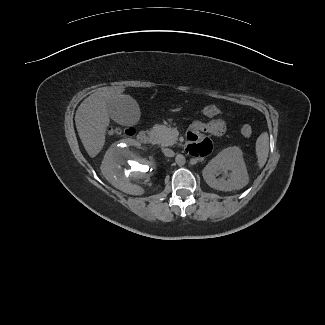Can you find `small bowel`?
I'll return each mask as SVG.
<instances>
[{
	"mask_svg": "<svg viewBox=\"0 0 325 325\" xmlns=\"http://www.w3.org/2000/svg\"><path fill=\"white\" fill-rule=\"evenodd\" d=\"M225 123L221 118H209L206 121H195L190 127L189 144L187 152L194 157L208 155L212 150V142L209 138L199 135L208 133L220 136L224 133Z\"/></svg>",
	"mask_w": 325,
	"mask_h": 325,
	"instance_id": "c3829d8e",
	"label": "small bowel"
}]
</instances>
